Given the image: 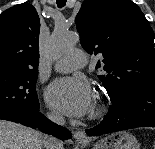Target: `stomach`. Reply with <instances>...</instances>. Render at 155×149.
I'll return each mask as SVG.
<instances>
[{"mask_svg": "<svg viewBox=\"0 0 155 149\" xmlns=\"http://www.w3.org/2000/svg\"><path fill=\"white\" fill-rule=\"evenodd\" d=\"M93 149H140V145L135 136L127 131H119L94 143Z\"/></svg>", "mask_w": 155, "mask_h": 149, "instance_id": "stomach-1", "label": "stomach"}]
</instances>
